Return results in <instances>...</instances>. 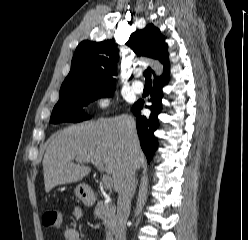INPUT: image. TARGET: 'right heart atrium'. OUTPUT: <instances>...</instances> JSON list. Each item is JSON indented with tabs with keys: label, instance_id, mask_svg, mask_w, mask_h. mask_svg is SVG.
Wrapping results in <instances>:
<instances>
[{
	"label": "right heart atrium",
	"instance_id": "d8ad5b80",
	"mask_svg": "<svg viewBox=\"0 0 248 240\" xmlns=\"http://www.w3.org/2000/svg\"><path fill=\"white\" fill-rule=\"evenodd\" d=\"M110 100L106 95H98L95 100L94 104L99 109H104L109 106Z\"/></svg>",
	"mask_w": 248,
	"mask_h": 240
}]
</instances>
